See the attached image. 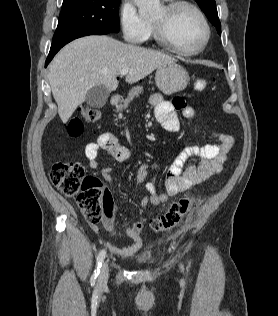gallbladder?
<instances>
[{
  "label": "gallbladder",
  "instance_id": "gallbladder-1",
  "mask_svg": "<svg viewBox=\"0 0 278 316\" xmlns=\"http://www.w3.org/2000/svg\"><path fill=\"white\" fill-rule=\"evenodd\" d=\"M109 97V91L104 85H97L92 87L86 94L85 101L88 106L92 108L103 107Z\"/></svg>",
  "mask_w": 278,
  "mask_h": 316
}]
</instances>
